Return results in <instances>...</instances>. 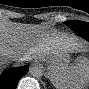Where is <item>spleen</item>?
Wrapping results in <instances>:
<instances>
[{"instance_id":"1","label":"spleen","mask_w":89,"mask_h":89,"mask_svg":"<svg viewBox=\"0 0 89 89\" xmlns=\"http://www.w3.org/2000/svg\"><path fill=\"white\" fill-rule=\"evenodd\" d=\"M50 82L57 89H84L89 84V61L82 58L73 64L48 72Z\"/></svg>"}]
</instances>
